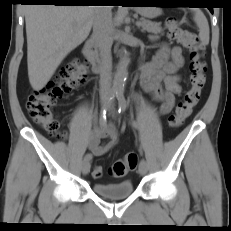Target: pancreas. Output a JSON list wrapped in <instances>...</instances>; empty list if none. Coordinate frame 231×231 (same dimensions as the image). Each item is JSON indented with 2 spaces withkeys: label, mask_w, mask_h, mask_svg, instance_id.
I'll use <instances>...</instances> for the list:
<instances>
[{
  "label": "pancreas",
  "mask_w": 231,
  "mask_h": 231,
  "mask_svg": "<svg viewBox=\"0 0 231 231\" xmlns=\"http://www.w3.org/2000/svg\"><path fill=\"white\" fill-rule=\"evenodd\" d=\"M141 26L143 31H147L149 33L159 34L163 31L159 23L151 22L145 19L141 20Z\"/></svg>",
  "instance_id": "obj_1"
}]
</instances>
